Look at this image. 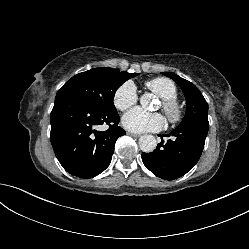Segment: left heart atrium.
Returning a JSON list of instances; mask_svg holds the SVG:
<instances>
[{
	"mask_svg": "<svg viewBox=\"0 0 249 249\" xmlns=\"http://www.w3.org/2000/svg\"><path fill=\"white\" fill-rule=\"evenodd\" d=\"M122 124L133 132L157 131L163 127L164 119L159 113H148L134 108L123 116Z\"/></svg>",
	"mask_w": 249,
	"mask_h": 249,
	"instance_id": "1",
	"label": "left heart atrium"
}]
</instances>
